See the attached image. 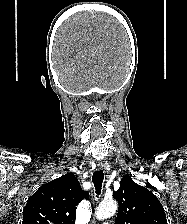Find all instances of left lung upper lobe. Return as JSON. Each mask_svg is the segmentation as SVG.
I'll use <instances>...</instances> for the list:
<instances>
[{"label": "left lung upper lobe", "mask_w": 187, "mask_h": 224, "mask_svg": "<svg viewBox=\"0 0 187 224\" xmlns=\"http://www.w3.org/2000/svg\"><path fill=\"white\" fill-rule=\"evenodd\" d=\"M114 197L119 202L115 224H167L163 206L157 197L136 184L128 174L121 179Z\"/></svg>", "instance_id": "left-lung-upper-lobe-1"}]
</instances>
